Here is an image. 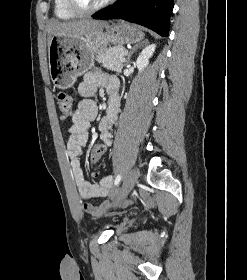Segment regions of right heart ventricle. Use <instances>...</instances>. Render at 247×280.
Instances as JSON below:
<instances>
[{"label":"right heart ventricle","instance_id":"e07e8e85","mask_svg":"<svg viewBox=\"0 0 247 280\" xmlns=\"http://www.w3.org/2000/svg\"><path fill=\"white\" fill-rule=\"evenodd\" d=\"M54 14L61 20H70L76 17V14L68 9L66 0H54Z\"/></svg>","mask_w":247,"mask_h":280}]
</instances>
